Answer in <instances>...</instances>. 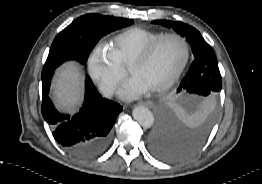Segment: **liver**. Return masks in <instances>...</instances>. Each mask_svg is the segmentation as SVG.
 <instances>
[{
    "label": "liver",
    "instance_id": "1",
    "mask_svg": "<svg viewBox=\"0 0 262 184\" xmlns=\"http://www.w3.org/2000/svg\"><path fill=\"white\" fill-rule=\"evenodd\" d=\"M55 101L63 110L77 108L83 96V82L79 67L74 63L63 65L53 84Z\"/></svg>",
    "mask_w": 262,
    "mask_h": 184
}]
</instances>
